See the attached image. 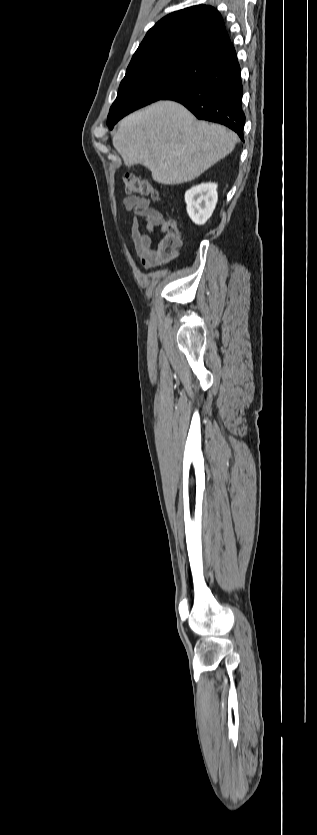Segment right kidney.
Returning a JSON list of instances; mask_svg holds the SVG:
<instances>
[{
	"label": "right kidney",
	"mask_w": 317,
	"mask_h": 835,
	"mask_svg": "<svg viewBox=\"0 0 317 835\" xmlns=\"http://www.w3.org/2000/svg\"><path fill=\"white\" fill-rule=\"evenodd\" d=\"M218 200L217 184L202 183L185 193L187 213L197 225H203L211 217Z\"/></svg>",
	"instance_id": "1"
}]
</instances>
